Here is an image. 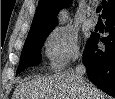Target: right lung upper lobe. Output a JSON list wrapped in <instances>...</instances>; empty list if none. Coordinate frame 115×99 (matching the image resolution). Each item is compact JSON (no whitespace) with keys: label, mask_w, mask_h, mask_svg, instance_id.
<instances>
[{"label":"right lung upper lobe","mask_w":115,"mask_h":99,"mask_svg":"<svg viewBox=\"0 0 115 99\" xmlns=\"http://www.w3.org/2000/svg\"><path fill=\"white\" fill-rule=\"evenodd\" d=\"M69 3L70 0H40L28 36L50 33L57 24V13ZM101 4L102 16L115 10V0H103Z\"/></svg>","instance_id":"obj_1"}]
</instances>
